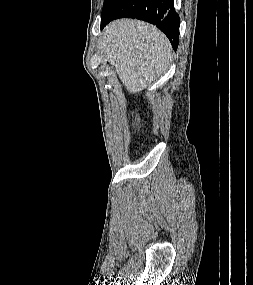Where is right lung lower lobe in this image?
Here are the masks:
<instances>
[{
    "label": "right lung lower lobe",
    "mask_w": 253,
    "mask_h": 285,
    "mask_svg": "<svg viewBox=\"0 0 253 285\" xmlns=\"http://www.w3.org/2000/svg\"><path fill=\"white\" fill-rule=\"evenodd\" d=\"M126 17L156 25L168 37L174 50L177 49L180 18L173 0H114L101 15V29L112 20Z\"/></svg>",
    "instance_id": "98d812e1"
}]
</instances>
